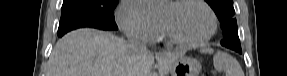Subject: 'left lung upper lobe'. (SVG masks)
Listing matches in <instances>:
<instances>
[{
  "instance_id": "left-lung-upper-lobe-1",
  "label": "left lung upper lobe",
  "mask_w": 287,
  "mask_h": 76,
  "mask_svg": "<svg viewBox=\"0 0 287 76\" xmlns=\"http://www.w3.org/2000/svg\"><path fill=\"white\" fill-rule=\"evenodd\" d=\"M215 11L221 22L224 39L221 45L230 49H241L240 40L237 31V21L233 0H205Z\"/></svg>"
}]
</instances>
